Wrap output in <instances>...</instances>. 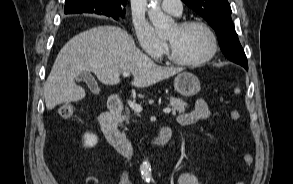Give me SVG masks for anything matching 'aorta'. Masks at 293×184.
<instances>
[{
  "mask_svg": "<svg viewBox=\"0 0 293 184\" xmlns=\"http://www.w3.org/2000/svg\"><path fill=\"white\" fill-rule=\"evenodd\" d=\"M153 3L152 9L148 12L149 19L153 24L158 35L163 36L167 34L174 27V20L166 16L159 6L160 0H151ZM140 172L146 183L152 181L151 165L148 160H144L140 166Z\"/></svg>",
  "mask_w": 293,
  "mask_h": 184,
  "instance_id": "1",
  "label": "aorta"
}]
</instances>
